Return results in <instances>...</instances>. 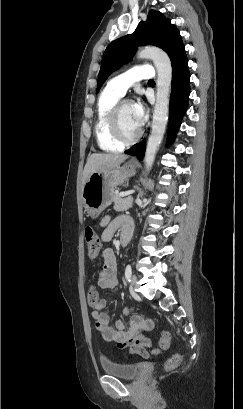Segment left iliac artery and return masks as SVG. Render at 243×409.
<instances>
[{
    "label": "left iliac artery",
    "instance_id": "44dca946",
    "mask_svg": "<svg viewBox=\"0 0 243 409\" xmlns=\"http://www.w3.org/2000/svg\"><path fill=\"white\" fill-rule=\"evenodd\" d=\"M131 275H132L131 265H127V267L125 269V277L129 282H130Z\"/></svg>",
    "mask_w": 243,
    "mask_h": 409
}]
</instances>
